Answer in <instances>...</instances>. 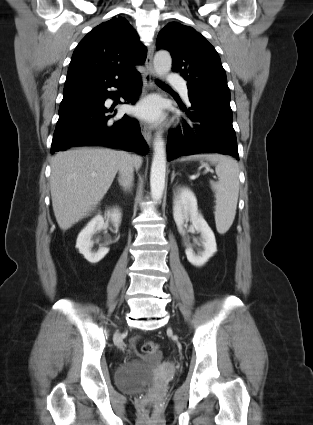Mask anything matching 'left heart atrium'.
Returning <instances> with one entry per match:
<instances>
[{
    "mask_svg": "<svg viewBox=\"0 0 313 425\" xmlns=\"http://www.w3.org/2000/svg\"><path fill=\"white\" fill-rule=\"evenodd\" d=\"M134 111L138 116L149 121H155L161 115L160 104L155 98L144 100L137 105Z\"/></svg>",
    "mask_w": 313,
    "mask_h": 425,
    "instance_id": "1",
    "label": "left heart atrium"
}]
</instances>
